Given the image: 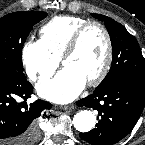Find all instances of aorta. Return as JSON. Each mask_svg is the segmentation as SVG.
<instances>
[{
    "label": "aorta",
    "mask_w": 145,
    "mask_h": 145,
    "mask_svg": "<svg viewBox=\"0 0 145 145\" xmlns=\"http://www.w3.org/2000/svg\"><path fill=\"white\" fill-rule=\"evenodd\" d=\"M96 124V116L90 110H82L73 118V125L79 132H89Z\"/></svg>",
    "instance_id": "762f6f07"
}]
</instances>
